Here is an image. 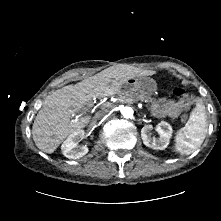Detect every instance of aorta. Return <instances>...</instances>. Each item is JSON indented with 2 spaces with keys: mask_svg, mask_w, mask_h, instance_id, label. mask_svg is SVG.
Returning a JSON list of instances; mask_svg holds the SVG:
<instances>
[{
  "mask_svg": "<svg viewBox=\"0 0 221 221\" xmlns=\"http://www.w3.org/2000/svg\"><path fill=\"white\" fill-rule=\"evenodd\" d=\"M121 114L124 118L129 119L133 117L134 111L131 107L126 106L122 109Z\"/></svg>",
  "mask_w": 221,
  "mask_h": 221,
  "instance_id": "1",
  "label": "aorta"
}]
</instances>
